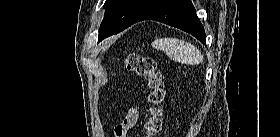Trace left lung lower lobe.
I'll use <instances>...</instances> for the list:
<instances>
[{
	"label": "left lung lower lobe",
	"instance_id": "0a47b994",
	"mask_svg": "<svg viewBox=\"0 0 280 137\" xmlns=\"http://www.w3.org/2000/svg\"><path fill=\"white\" fill-rule=\"evenodd\" d=\"M143 20H155L179 28L206 44L204 28L190 0H161L138 21Z\"/></svg>",
	"mask_w": 280,
	"mask_h": 137
}]
</instances>
